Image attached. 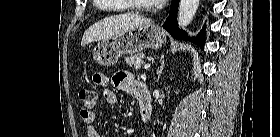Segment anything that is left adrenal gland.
<instances>
[{"label": "left adrenal gland", "mask_w": 280, "mask_h": 137, "mask_svg": "<svg viewBox=\"0 0 280 137\" xmlns=\"http://www.w3.org/2000/svg\"><path fill=\"white\" fill-rule=\"evenodd\" d=\"M163 67H164V57H162L161 64H160V66H159V68L157 70V81L161 77V74L163 72Z\"/></svg>", "instance_id": "obj_1"}]
</instances>
